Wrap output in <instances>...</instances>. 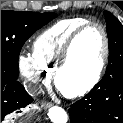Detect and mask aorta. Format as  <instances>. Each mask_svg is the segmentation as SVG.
<instances>
[{
  "label": "aorta",
  "instance_id": "aorta-1",
  "mask_svg": "<svg viewBox=\"0 0 123 123\" xmlns=\"http://www.w3.org/2000/svg\"><path fill=\"white\" fill-rule=\"evenodd\" d=\"M48 116L53 123H67L68 120L66 111L59 106L51 107Z\"/></svg>",
  "mask_w": 123,
  "mask_h": 123
}]
</instances>
